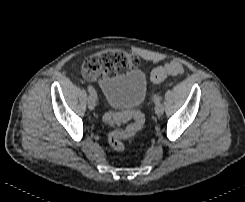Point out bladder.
<instances>
[{
    "label": "bladder",
    "mask_w": 245,
    "mask_h": 202,
    "mask_svg": "<svg viewBox=\"0 0 245 202\" xmlns=\"http://www.w3.org/2000/svg\"><path fill=\"white\" fill-rule=\"evenodd\" d=\"M147 80L139 69L100 83L104 101L111 108H140L147 93Z\"/></svg>",
    "instance_id": "1"
}]
</instances>
